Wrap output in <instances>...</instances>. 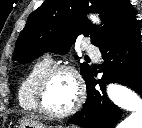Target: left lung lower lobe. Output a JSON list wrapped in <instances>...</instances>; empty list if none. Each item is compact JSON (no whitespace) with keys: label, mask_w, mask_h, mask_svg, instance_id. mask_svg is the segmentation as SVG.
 <instances>
[{"label":"left lung lower lobe","mask_w":142,"mask_h":128,"mask_svg":"<svg viewBox=\"0 0 142 128\" xmlns=\"http://www.w3.org/2000/svg\"><path fill=\"white\" fill-rule=\"evenodd\" d=\"M99 49L103 57L99 72H103V76L97 82L91 72L85 81L86 103L81 113L68 120L83 128H115L120 120L122 112L106 96V84L119 83L132 88L142 97V43L138 22ZM96 84L100 85L101 91L95 89Z\"/></svg>","instance_id":"obj_1"}]
</instances>
